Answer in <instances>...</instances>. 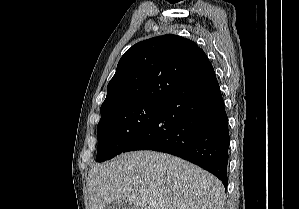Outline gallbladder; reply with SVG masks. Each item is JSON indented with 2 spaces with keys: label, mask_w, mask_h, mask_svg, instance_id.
Here are the masks:
<instances>
[{
  "label": "gallbladder",
  "mask_w": 299,
  "mask_h": 209,
  "mask_svg": "<svg viewBox=\"0 0 299 209\" xmlns=\"http://www.w3.org/2000/svg\"><path fill=\"white\" fill-rule=\"evenodd\" d=\"M104 209H136L130 202L119 199L104 207Z\"/></svg>",
  "instance_id": "bac80fb5"
}]
</instances>
